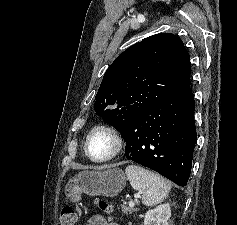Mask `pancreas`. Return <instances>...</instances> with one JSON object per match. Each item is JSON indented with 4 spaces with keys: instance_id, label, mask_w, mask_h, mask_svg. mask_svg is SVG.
Masks as SVG:
<instances>
[{
    "instance_id": "pancreas-1",
    "label": "pancreas",
    "mask_w": 237,
    "mask_h": 225,
    "mask_svg": "<svg viewBox=\"0 0 237 225\" xmlns=\"http://www.w3.org/2000/svg\"><path fill=\"white\" fill-rule=\"evenodd\" d=\"M118 209H121L122 212H124L125 214H131L134 211H137V209L131 208V207H126L124 205H120V207H118Z\"/></svg>"
}]
</instances>
